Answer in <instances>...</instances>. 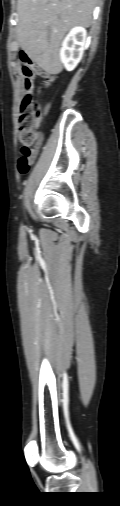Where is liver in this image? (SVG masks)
I'll use <instances>...</instances> for the list:
<instances>
[{"label":"liver","instance_id":"1","mask_svg":"<svg viewBox=\"0 0 120 506\" xmlns=\"http://www.w3.org/2000/svg\"><path fill=\"white\" fill-rule=\"evenodd\" d=\"M96 0H18L17 40L21 49L43 70H62L60 46L76 25L89 27Z\"/></svg>","mask_w":120,"mask_h":506}]
</instances>
